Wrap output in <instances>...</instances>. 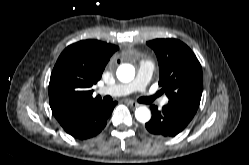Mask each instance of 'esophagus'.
Here are the masks:
<instances>
[{"mask_svg": "<svg viewBox=\"0 0 249 165\" xmlns=\"http://www.w3.org/2000/svg\"><path fill=\"white\" fill-rule=\"evenodd\" d=\"M128 104L132 107V108H137L140 106V104H138L137 102L134 101H128Z\"/></svg>", "mask_w": 249, "mask_h": 165, "instance_id": "34e87169", "label": "esophagus"}]
</instances>
